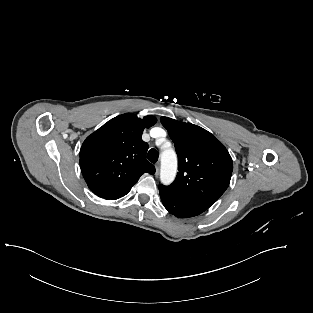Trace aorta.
I'll use <instances>...</instances> for the list:
<instances>
[{"mask_svg": "<svg viewBox=\"0 0 313 313\" xmlns=\"http://www.w3.org/2000/svg\"><path fill=\"white\" fill-rule=\"evenodd\" d=\"M177 173V156L173 149L161 153L160 180L164 185L171 184Z\"/></svg>", "mask_w": 313, "mask_h": 313, "instance_id": "1", "label": "aorta"}]
</instances>
